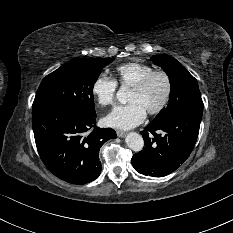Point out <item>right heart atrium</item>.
Returning <instances> with one entry per match:
<instances>
[{
    "instance_id": "1",
    "label": "right heart atrium",
    "mask_w": 233,
    "mask_h": 233,
    "mask_svg": "<svg viewBox=\"0 0 233 233\" xmlns=\"http://www.w3.org/2000/svg\"><path fill=\"white\" fill-rule=\"evenodd\" d=\"M117 87L113 78L101 73L92 82L91 92L99 105L107 106L115 101Z\"/></svg>"
}]
</instances>
